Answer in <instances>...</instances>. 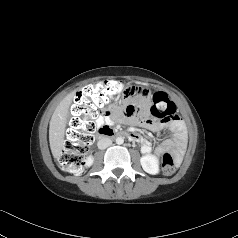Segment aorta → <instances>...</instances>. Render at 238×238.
Wrapping results in <instances>:
<instances>
[{
  "label": "aorta",
  "mask_w": 238,
  "mask_h": 238,
  "mask_svg": "<svg viewBox=\"0 0 238 238\" xmlns=\"http://www.w3.org/2000/svg\"><path fill=\"white\" fill-rule=\"evenodd\" d=\"M124 143V138L123 137H117L116 138V144L121 145Z\"/></svg>",
  "instance_id": "1"
}]
</instances>
